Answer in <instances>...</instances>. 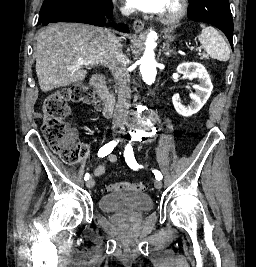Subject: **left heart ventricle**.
I'll use <instances>...</instances> for the list:
<instances>
[{
    "label": "left heart ventricle",
    "mask_w": 256,
    "mask_h": 267,
    "mask_svg": "<svg viewBox=\"0 0 256 267\" xmlns=\"http://www.w3.org/2000/svg\"><path fill=\"white\" fill-rule=\"evenodd\" d=\"M173 10L171 7L166 11V13L163 15V19L166 21H169L172 17Z\"/></svg>",
    "instance_id": "b2bd125f"
}]
</instances>
